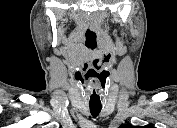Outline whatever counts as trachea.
Here are the masks:
<instances>
[{
    "mask_svg": "<svg viewBox=\"0 0 177 128\" xmlns=\"http://www.w3.org/2000/svg\"><path fill=\"white\" fill-rule=\"evenodd\" d=\"M89 107L93 117L98 116L102 108L101 106H89Z\"/></svg>",
    "mask_w": 177,
    "mask_h": 128,
    "instance_id": "3493384b",
    "label": "trachea"
}]
</instances>
